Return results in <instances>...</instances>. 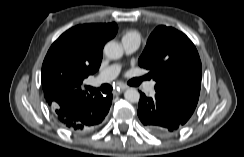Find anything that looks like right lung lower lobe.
<instances>
[{
  "label": "right lung lower lobe",
  "mask_w": 244,
  "mask_h": 157,
  "mask_svg": "<svg viewBox=\"0 0 244 157\" xmlns=\"http://www.w3.org/2000/svg\"><path fill=\"white\" fill-rule=\"evenodd\" d=\"M113 95L100 96L91 102L79 104L67 113L55 112L59 122L67 129L82 132L93 129L102 123L107 115Z\"/></svg>",
  "instance_id": "1"
}]
</instances>
